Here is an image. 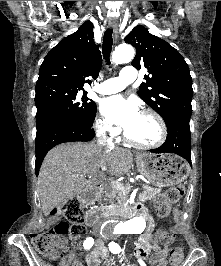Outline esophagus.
<instances>
[{
    "mask_svg": "<svg viewBox=\"0 0 221 266\" xmlns=\"http://www.w3.org/2000/svg\"><path fill=\"white\" fill-rule=\"evenodd\" d=\"M110 27L113 29L114 36H115V39H116L117 38V35H118V25H117V22L115 20H111L110 21Z\"/></svg>",
    "mask_w": 221,
    "mask_h": 266,
    "instance_id": "34e87169",
    "label": "esophagus"
}]
</instances>
